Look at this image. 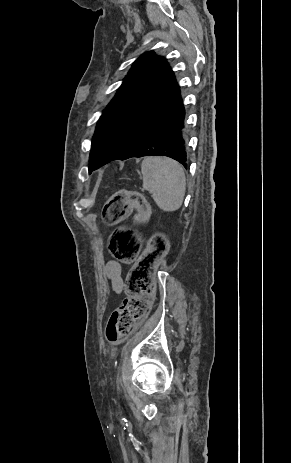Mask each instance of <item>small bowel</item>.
<instances>
[{
  "instance_id": "obj_1",
  "label": "small bowel",
  "mask_w": 291,
  "mask_h": 463,
  "mask_svg": "<svg viewBox=\"0 0 291 463\" xmlns=\"http://www.w3.org/2000/svg\"><path fill=\"white\" fill-rule=\"evenodd\" d=\"M122 265L117 261H108L104 268V276L110 282L111 288L116 293H121L124 287Z\"/></svg>"
}]
</instances>
